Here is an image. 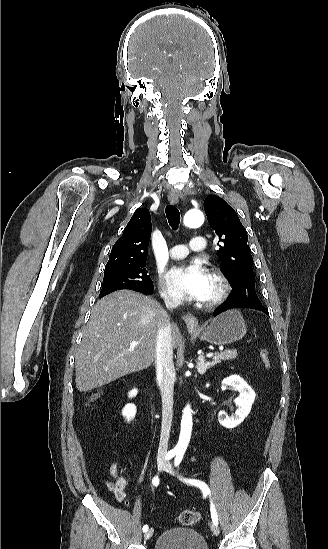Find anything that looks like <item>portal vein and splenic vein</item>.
Instances as JSON below:
<instances>
[{"instance_id":"1","label":"portal vein and splenic vein","mask_w":328,"mask_h":549,"mask_svg":"<svg viewBox=\"0 0 328 549\" xmlns=\"http://www.w3.org/2000/svg\"><path fill=\"white\" fill-rule=\"evenodd\" d=\"M138 345L137 341H132L130 347H136ZM208 359H211V356H213V353H207Z\"/></svg>"}]
</instances>
